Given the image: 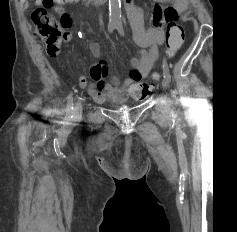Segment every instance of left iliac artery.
I'll list each match as a JSON object with an SVG mask.
<instances>
[{"instance_id": "left-iliac-artery-1", "label": "left iliac artery", "mask_w": 237, "mask_h": 232, "mask_svg": "<svg viewBox=\"0 0 237 232\" xmlns=\"http://www.w3.org/2000/svg\"><path fill=\"white\" fill-rule=\"evenodd\" d=\"M117 30L120 33H123V26H122V24H120V23L117 24ZM163 75L169 81L171 80V75H170V72H169V69H168V66H167V63H166V59H163Z\"/></svg>"}]
</instances>
